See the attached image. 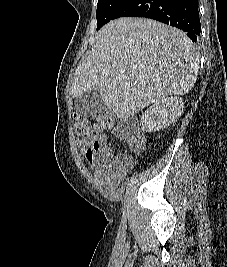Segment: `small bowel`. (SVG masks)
Instances as JSON below:
<instances>
[{"mask_svg":"<svg viewBox=\"0 0 227 267\" xmlns=\"http://www.w3.org/2000/svg\"><path fill=\"white\" fill-rule=\"evenodd\" d=\"M118 134V130L115 131ZM105 136L102 135L98 142L92 137L81 136L78 146L85 156L88 164L95 170L98 175L102 174L104 159L108 155L105 147ZM130 168L129 160L125 159L120 162L119 171L125 173Z\"/></svg>","mask_w":227,"mask_h":267,"instance_id":"small-bowel-1","label":"small bowel"}]
</instances>
